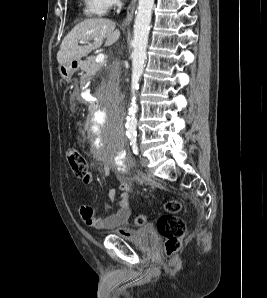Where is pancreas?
Masks as SVG:
<instances>
[{
	"mask_svg": "<svg viewBox=\"0 0 267 298\" xmlns=\"http://www.w3.org/2000/svg\"><path fill=\"white\" fill-rule=\"evenodd\" d=\"M95 59L96 58L94 56H92L89 59H87L86 61H84V62L81 63L80 69L84 73V75L82 76V78L90 79L105 64V62L96 63Z\"/></svg>",
	"mask_w": 267,
	"mask_h": 298,
	"instance_id": "cf45deb5",
	"label": "pancreas"
}]
</instances>
